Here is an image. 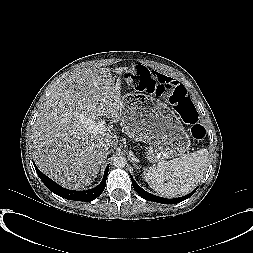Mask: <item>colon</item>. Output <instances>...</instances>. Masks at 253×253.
I'll return each instance as SVG.
<instances>
[{
  "mask_svg": "<svg viewBox=\"0 0 253 253\" xmlns=\"http://www.w3.org/2000/svg\"><path fill=\"white\" fill-rule=\"evenodd\" d=\"M125 78L133 82L134 80L148 79L149 71L141 66L133 65L125 71ZM167 91L175 111L181 116L183 121L191 125V136L196 141H201L205 137V129L198 123V114L192 104L186 89L177 83L168 86H160L158 93Z\"/></svg>",
  "mask_w": 253,
  "mask_h": 253,
  "instance_id": "1",
  "label": "colon"
}]
</instances>
